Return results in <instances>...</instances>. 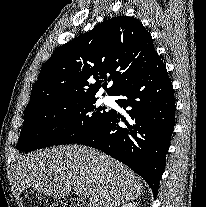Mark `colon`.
Wrapping results in <instances>:
<instances>
[{
    "mask_svg": "<svg viewBox=\"0 0 206 207\" xmlns=\"http://www.w3.org/2000/svg\"><path fill=\"white\" fill-rule=\"evenodd\" d=\"M55 207H81L79 204H76L75 202H69L67 204L63 205H55Z\"/></svg>",
    "mask_w": 206,
    "mask_h": 207,
    "instance_id": "obj_1",
    "label": "colon"
}]
</instances>
